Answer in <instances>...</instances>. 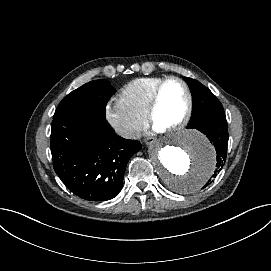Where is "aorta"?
I'll list each match as a JSON object with an SVG mask.
<instances>
[{"mask_svg": "<svg viewBox=\"0 0 271 271\" xmlns=\"http://www.w3.org/2000/svg\"><path fill=\"white\" fill-rule=\"evenodd\" d=\"M149 153L163 182L180 194L201 190L216 166L212 144L202 133L191 129L166 135L151 145Z\"/></svg>", "mask_w": 271, "mask_h": 271, "instance_id": "762f6f07", "label": "aorta"}]
</instances>
